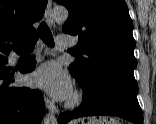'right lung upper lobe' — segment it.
Here are the masks:
<instances>
[{"instance_id": "obj_1", "label": "right lung upper lobe", "mask_w": 156, "mask_h": 124, "mask_svg": "<svg viewBox=\"0 0 156 124\" xmlns=\"http://www.w3.org/2000/svg\"><path fill=\"white\" fill-rule=\"evenodd\" d=\"M48 0H0V52L24 49L32 24L39 21Z\"/></svg>"}]
</instances>
